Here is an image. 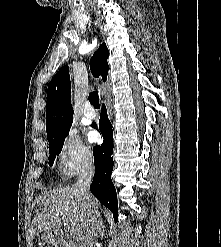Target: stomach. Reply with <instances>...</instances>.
<instances>
[{
  "label": "stomach",
  "instance_id": "1",
  "mask_svg": "<svg viewBox=\"0 0 221 247\" xmlns=\"http://www.w3.org/2000/svg\"><path fill=\"white\" fill-rule=\"evenodd\" d=\"M49 234H50V233H46L42 238H43L44 240L48 239V238H49Z\"/></svg>",
  "mask_w": 221,
  "mask_h": 247
}]
</instances>
